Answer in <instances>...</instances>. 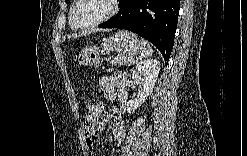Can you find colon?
Returning a JSON list of instances; mask_svg holds the SVG:
<instances>
[{
    "instance_id": "obj_1",
    "label": "colon",
    "mask_w": 247,
    "mask_h": 156,
    "mask_svg": "<svg viewBox=\"0 0 247 156\" xmlns=\"http://www.w3.org/2000/svg\"><path fill=\"white\" fill-rule=\"evenodd\" d=\"M105 106V101L103 98H98V101H94L93 107H89V110H86L84 126H86V130H93L92 132L95 134L98 130V121L102 118V109Z\"/></svg>"
}]
</instances>
